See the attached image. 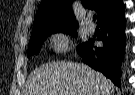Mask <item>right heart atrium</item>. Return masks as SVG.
Masks as SVG:
<instances>
[{"instance_id": "obj_1", "label": "right heart atrium", "mask_w": 135, "mask_h": 95, "mask_svg": "<svg viewBox=\"0 0 135 95\" xmlns=\"http://www.w3.org/2000/svg\"><path fill=\"white\" fill-rule=\"evenodd\" d=\"M51 44L55 52H65L69 48L70 40L65 32L58 31L53 34Z\"/></svg>"}]
</instances>
